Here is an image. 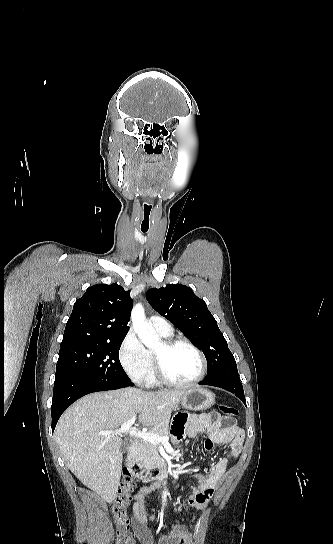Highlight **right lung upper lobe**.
Returning a JSON list of instances; mask_svg holds the SVG:
<instances>
[{
	"mask_svg": "<svg viewBox=\"0 0 333 544\" xmlns=\"http://www.w3.org/2000/svg\"><path fill=\"white\" fill-rule=\"evenodd\" d=\"M132 307L129 291L116 283L89 287L74 304L61 348L125 337Z\"/></svg>",
	"mask_w": 333,
	"mask_h": 544,
	"instance_id": "obj_1",
	"label": "right lung upper lobe"
}]
</instances>
